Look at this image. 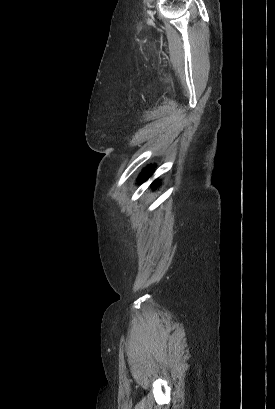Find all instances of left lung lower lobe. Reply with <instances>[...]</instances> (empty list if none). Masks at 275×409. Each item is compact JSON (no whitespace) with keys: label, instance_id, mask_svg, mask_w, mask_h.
Wrapping results in <instances>:
<instances>
[{"label":"left lung lower lobe","instance_id":"1","mask_svg":"<svg viewBox=\"0 0 275 409\" xmlns=\"http://www.w3.org/2000/svg\"><path fill=\"white\" fill-rule=\"evenodd\" d=\"M153 170H154V167H153V166L147 167V168L143 171V173L141 174L140 181H145V180H147V179L149 178V176L152 174Z\"/></svg>","mask_w":275,"mask_h":409}]
</instances>
